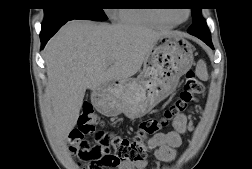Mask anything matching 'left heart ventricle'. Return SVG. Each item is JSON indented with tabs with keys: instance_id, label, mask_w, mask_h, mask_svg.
I'll return each mask as SVG.
<instances>
[{
	"instance_id": "b2bd125f",
	"label": "left heart ventricle",
	"mask_w": 252,
	"mask_h": 169,
	"mask_svg": "<svg viewBox=\"0 0 252 169\" xmlns=\"http://www.w3.org/2000/svg\"><path fill=\"white\" fill-rule=\"evenodd\" d=\"M168 16L173 20L180 21L186 18L187 12L185 9L169 11Z\"/></svg>"
}]
</instances>
